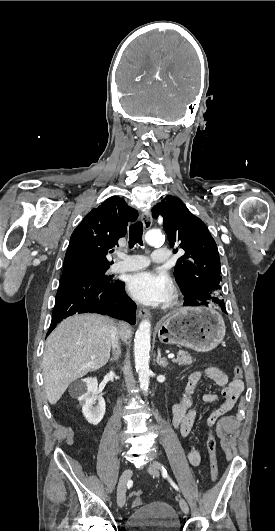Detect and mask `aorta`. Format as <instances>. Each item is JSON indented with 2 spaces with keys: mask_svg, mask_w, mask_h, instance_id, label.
I'll return each instance as SVG.
<instances>
[{
  "mask_svg": "<svg viewBox=\"0 0 275 531\" xmlns=\"http://www.w3.org/2000/svg\"><path fill=\"white\" fill-rule=\"evenodd\" d=\"M160 239H162V235L161 233H157V231H148L145 235V241H147L148 245H155ZM150 337L151 323L147 319H144V321H141L138 331H136L134 341L135 367L138 373L140 387L144 393H148L151 375L149 369Z\"/></svg>",
  "mask_w": 275,
  "mask_h": 531,
  "instance_id": "obj_1",
  "label": "aorta"
}]
</instances>
